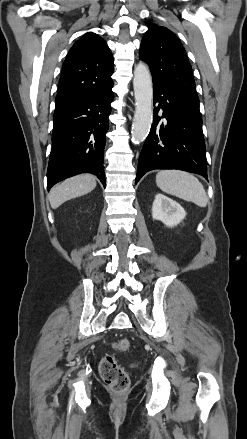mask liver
I'll return each instance as SVG.
<instances>
[{"label":"liver","instance_id":"liver-1","mask_svg":"<svg viewBox=\"0 0 247 439\" xmlns=\"http://www.w3.org/2000/svg\"><path fill=\"white\" fill-rule=\"evenodd\" d=\"M95 187L96 178L90 174L68 178L51 189L49 193L50 205L53 209H56L70 199L91 192Z\"/></svg>","mask_w":247,"mask_h":439}]
</instances>
